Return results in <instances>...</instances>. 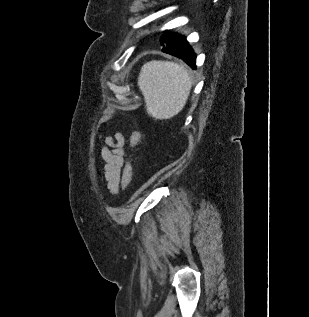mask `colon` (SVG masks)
<instances>
[{
    "instance_id": "1",
    "label": "colon",
    "mask_w": 309,
    "mask_h": 317,
    "mask_svg": "<svg viewBox=\"0 0 309 317\" xmlns=\"http://www.w3.org/2000/svg\"><path fill=\"white\" fill-rule=\"evenodd\" d=\"M141 140V134L138 131H135L130 136V154L128 160L124 166L123 173H122V185L124 188H127L132 180L133 175V168H132V154L139 144Z\"/></svg>"
}]
</instances>
